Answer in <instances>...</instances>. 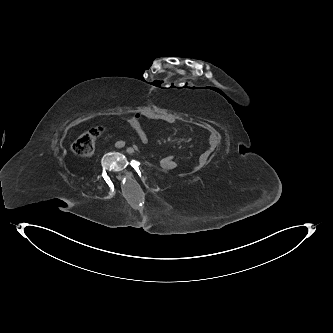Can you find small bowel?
Masks as SVG:
<instances>
[{
    "label": "small bowel",
    "instance_id": "obj_1",
    "mask_svg": "<svg viewBox=\"0 0 333 333\" xmlns=\"http://www.w3.org/2000/svg\"><path fill=\"white\" fill-rule=\"evenodd\" d=\"M142 121H148V122L149 121H159V122H163L166 124H171V123L175 122V118L172 115L157 113L152 110L143 111V112L134 114L128 120L129 126L131 127V129L135 135H137L138 137H140L143 140H148V135L143 130L142 125H141ZM210 155H211L210 149H208L204 153H202L200 155V157L198 158L197 162L195 163L194 168L200 169V168L204 167L208 163V161L210 159ZM168 156H171V155H168ZM165 157H163L162 159H165ZM171 157H172L171 163H167L166 166L160 165L163 169L172 170V169L176 168L177 162L175 161L173 156H171Z\"/></svg>",
    "mask_w": 333,
    "mask_h": 333
}]
</instances>
